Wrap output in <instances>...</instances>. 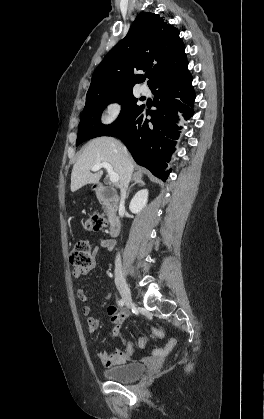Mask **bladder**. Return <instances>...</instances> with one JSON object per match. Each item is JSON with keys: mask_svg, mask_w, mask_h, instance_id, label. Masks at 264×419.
<instances>
[{"mask_svg": "<svg viewBox=\"0 0 264 419\" xmlns=\"http://www.w3.org/2000/svg\"><path fill=\"white\" fill-rule=\"evenodd\" d=\"M145 370L144 364L132 361L106 369L103 375L110 381L131 382L141 377Z\"/></svg>", "mask_w": 264, "mask_h": 419, "instance_id": "1", "label": "bladder"}]
</instances>
